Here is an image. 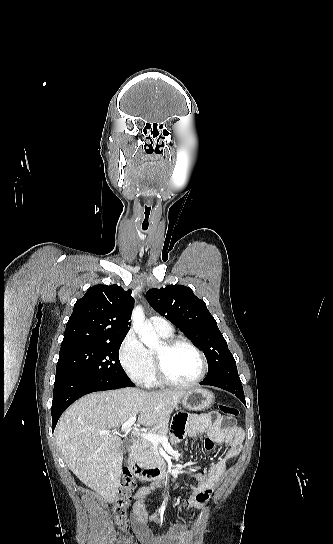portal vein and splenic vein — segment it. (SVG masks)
<instances>
[{
	"instance_id": "obj_1",
	"label": "portal vein and splenic vein",
	"mask_w": 333,
	"mask_h": 544,
	"mask_svg": "<svg viewBox=\"0 0 333 544\" xmlns=\"http://www.w3.org/2000/svg\"><path fill=\"white\" fill-rule=\"evenodd\" d=\"M136 419H137V416L134 415L132 416L129 420H127L125 423L122 424V427H121V430L124 431V432H127L130 430L131 426L136 422ZM115 434H117L118 432H114ZM134 435H137V436H141L143 439H147L149 440L151 443L153 444H159V443H164V442H167L168 441V438L165 437V436H159L157 434H152V433H139L137 431H133L132 432ZM102 435H110L111 432L109 431H102L101 432Z\"/></svg>"
}]
</instances>
